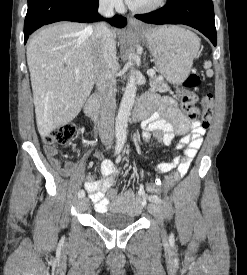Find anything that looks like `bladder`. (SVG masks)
I'll return each instance as SVG.
<instances>
[{
    "label": "bladder",
    "mask_w": 247,
    "mask_h": 275,
    "mask_svg": "<svg viewBox=\"0 0 247 275\" xmlns=\"http://www.w3.org/2000/svg\"><path fill=\"white\" fill-rule=\"evenodd\" d=\"M96 221L107 229H124L137 222V217L133 214L121 213L112 210L98 212Z\"/></svg>",
    "instance_id": "obj_1"
}]
</instances>
